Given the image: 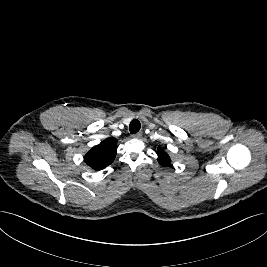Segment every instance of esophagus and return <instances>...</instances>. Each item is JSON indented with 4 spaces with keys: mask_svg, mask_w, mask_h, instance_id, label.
I'll use <instances>...</instances> for the list:
<instances>
[{
    "mask_svg": "<svg viewBox=\"0 0 267 267\" xmlns=\"http://www.w3.org/2000/svg\"><path fill=\"white\" fill-rule=\"evenodd\" d=\"M133 138H141L142 137V133L141 132H138V133H135L132 135Z\"/></svg>",
    "mask_w": 267,
    "mask_h": 267,
    "instance_id": "esophagus-1",
    "label": "esophagus"
}]
</instances>
